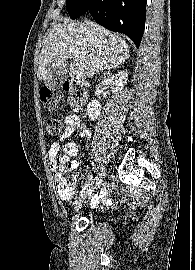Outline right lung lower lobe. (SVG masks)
Instances as JSON below:
<instances>
[{
    "label": "right lung lower lobe",
    "instance_id": "right-lung-lower-lobe-1",
    "mask_svg": "<svg viewBox=\"0 0 195 270\" xmlns=\"http://www.w3.org/2000/svg\"><path fill=\"white\" fill-rule=\"evenodd\" d=\"M87 13L101 26L126 34L138 48L146 19V0H89Z\"/></svg>",
    "mask_w": 195,
    "mask_h": 270
}]
</instances>
